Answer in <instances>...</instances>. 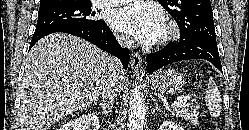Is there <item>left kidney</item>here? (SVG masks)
Returning <instances> with one entry per match:
<instances>
[{
    "instance_id": "5707ae66",
    "label": "left kidney",
    "mask_w": 249,
    "mask_h": 130,
    "mask_svg": "<svg viewBox=\"0 0 249 130\" xmlns=\"http://www.w3.org/2000/svg\"><path fill=\"white\" fill-rule=\"evenodd\" d=\"M159 130H184V129L172 121H164L159 127Z\"/></svg>"
}]
</instances>
